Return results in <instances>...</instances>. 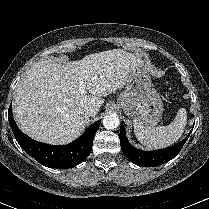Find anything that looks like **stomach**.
I'll return each instance as SVG.
<instances>
[{
    "instance_id": "obj_1",
    "label": "stomach",
    "mask_w": 209,
    "mask_h": 209,
    "mask_svg": "<svg viewBox=\"0 0 209 209\" xmlns=\"http://www.w3.org/2000/svg\"><path fill=\"white\" fill-rule=\"evenodd\" d=\"M118 103L129 118L145 127H153L162 119L163 103L145 65L130 73Z\"/></svg>"
}]
</instances>
